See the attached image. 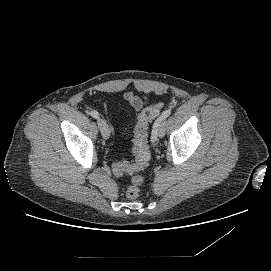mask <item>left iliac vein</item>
<instances>
[{"label":"left iliac vein","instance_id":"left-iliac-vein-1","mask_svg":"<svg viewBox=\"0 0 271 271\" xmlns=\"http://www.w3.org/2000/svg\"><path fill=\"white\" fill-rule=\"evenodd\" d=\"M165 130H166V127H165V120H163L159 127H158V136L160 138H163L165 136Z\"/></svg>","mask_w":271,"mask_h":271}]
</instances>
